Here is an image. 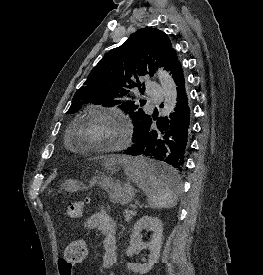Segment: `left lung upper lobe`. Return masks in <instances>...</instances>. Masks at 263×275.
<instances>
[{"label":"left lung upper lobe","mask_w":263,"mask_h":275,"mask_svg":"<svg viewBox=\"0 0 263 275\" xmlns=\"http://www.w3.org/2000/svg\"><path fill=\"white\" fill-rule=\"evenodd\" d=\"M175 54L168 36L161 30H138L121 46L109 51L92 69L84 86L75 93L67 114L79 111L89 102L104 106L119 103L114 98L126 95L129 91L125 88L140 87L138 77L152 75L158 67L168 69ZM121 109L131 114L134 133L150 118L132 99L125 101Z\"/></svg>","instance_id":"1"}]
</instances>
